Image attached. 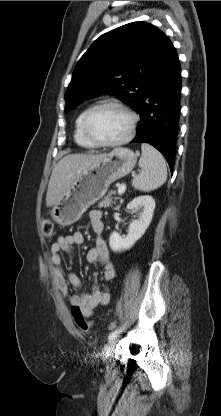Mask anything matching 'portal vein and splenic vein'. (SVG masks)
<instances>
[{"mask_svg": "<svg viewBox=\"0 0 221 416\" xmlns=\"http://www.w3.org/2000/svg\"><path fill=\"white\" fill-rule=\"evenodd\" d=\"M126 186L121 185L118 187V194L122 195L125 192Z\"/></svg>", "mask_w": 221, "mask_h": 416, "instance_id": "18ae733b", "label": "portal vein and splenic vein"}]
</instances>
